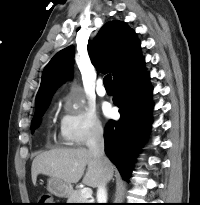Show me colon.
Masks as SVG:
<instances>
[{
  "instance_id": "obj_1",
  "label": "colon",
  "mask_w": 200,
  "mask_h": 205,
  "mask_svg": "<svg viewBox=\"0 0 200 205\" xmlns=\"http://www.w3.org/2000/svg\"><path fill=\"white\" fill-rule=\"evenodd\" d=\"M38 205H53V198L50 194H42L39 197Z\"/></svg>"
}]
</instances>
